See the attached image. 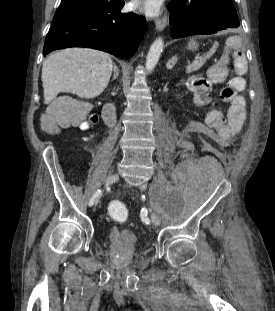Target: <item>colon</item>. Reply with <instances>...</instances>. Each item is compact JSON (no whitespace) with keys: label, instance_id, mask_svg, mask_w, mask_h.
Listing matches in <instances>:
<instances>
[{"label":"colon","instance_id":"5ec220e1","mask_svg":"<svg viewBox=\"0 0 275 311\" xmlns=\"http://www.w3.org/2000/svg\"><path fill=\"white\" fill-rule=\"evenodd\" d=\"M234 65L237 76L230 79L228 84L222 89L220 98L223 102L233 101L245 87V79L243 78V74L246 71L245 57H234ZM80 121V116L73 112V102L61 100L54 102L48 108L42 118V126L46 132H54L58 126L75 125ZM108 210L116 219H125L128 214L125 205L118 201L110 202Z\"/></svg>","mask_w":275,"mask_h":311}]
</instances>
